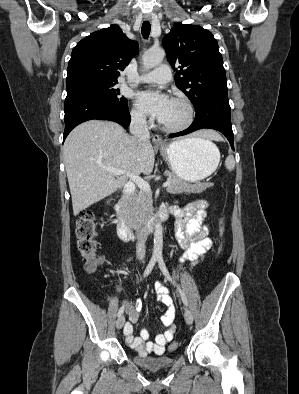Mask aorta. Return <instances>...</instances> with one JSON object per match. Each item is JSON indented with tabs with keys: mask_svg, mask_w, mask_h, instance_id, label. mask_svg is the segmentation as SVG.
Returning a JSON list of instances; mask_svg holds the SVG:
<instances>
[{
	"mask_svg": "<svg viewBox=\"0 0 299 394\" xmlns=\"http://www.w3.org/2000/svg\"><path fill=\"white\" fill-rule=\"evenodd\" d=\"M165 56V51L161 48L150 49L144 53L142 57V63L145 70H149L159 65ZM163 247V229L160 221L155 223L154 231V249L153 255L158 256L162 254Z\"/></svg>",
	"mask_w": 299,
	"mask_h": 394,
	"instance_id": "aorta-1",
	"label": "aorta"
}]
</instances>
